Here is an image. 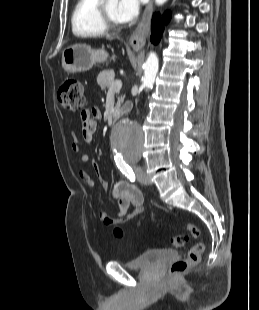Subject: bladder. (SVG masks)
I'll use <instances>...</instances> for the list:
<instances>
[{"mask_svg":"<svg viewBox=\"0 0 259 310\" xmlns=\"http://www.w3.org/2000/svg\"><path fill=\"white\" fill-rule=\"evenodd\" d=\"M177 252L173 250H148L138 255L131 261L125 262L128 269H146L160 262L176 258Z\"/></svg>","mask_w":259,"mask_h":310,"instance_id":"obj_1","label":"bladder"}]
</instances>
